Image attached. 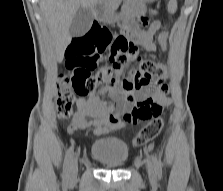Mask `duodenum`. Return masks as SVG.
Returning a JSON list of instances; mask_svg holds the SVG:
<instances>
[{"label": "duodenum", "mask_w": 223, "mask_h": 191, "mask_svg": "<svg viewBox=\"0 0 223 191\" xmlns=\"http://www.w3.org/2000/svg\"><path fill=\"white\" fill-rule=\"evenodd\" d=\"M103 12V9L99 6L94 7L93 15L94 17H99Z\"/></svg>", "instance_id": "1"}]
</instances>
